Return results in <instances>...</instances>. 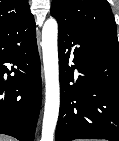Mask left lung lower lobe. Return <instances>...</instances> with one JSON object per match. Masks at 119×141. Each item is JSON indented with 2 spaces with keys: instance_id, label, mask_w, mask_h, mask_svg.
<instances>
[{
  "instance_id": "1",
  "label": "left lung lower lobe",
  "mask_w": 119,
  "mask_h": 141,
  "mask_svg": "<svg viewBox=\"0 0 119 141\" xmlns=\"http://www.w3.org/2000/svg\"><path fill=\"white\" fill-rule=\"evenodd\" d=\"M58 26L60 110L55 141H119V44L72 25ZM69 61L74 65L69 67Z\"/></svg>"
}]
</instances>
